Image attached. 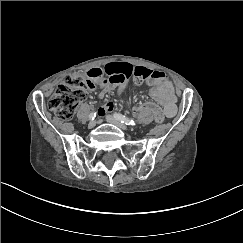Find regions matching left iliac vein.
<instances>
[{"instance_id": "left-iliac-vein-1", "label": "left iliac vein", "mask_w": 243, "mask_h": 243, "mask_svg": "<svg viewBox=\"0 0 243 243\" xmlns=\"http://www.w3.org/2000/svg\"><path fill=\"white\" fill-rule=\"evenodd\" d=\"M106 121L117 126L118 128L122 129V130H128V127L126 125H124L123 123H121L119 120H117L114 116L112 115H107L106 116Z\"/></svg>"}]
</instances>
